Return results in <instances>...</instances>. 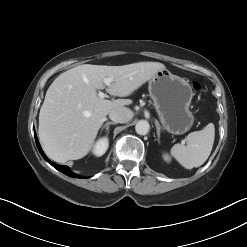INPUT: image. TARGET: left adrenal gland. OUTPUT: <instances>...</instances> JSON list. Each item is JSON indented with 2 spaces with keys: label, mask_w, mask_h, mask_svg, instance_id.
Wrapping results in <instances>:
<instances>
[{
  "label": "left adrenal gland",
  "mask_w": 247,
  "mask_h": 247,
  "mask_svg": "<svg viewBox=\"0 0 247 247\" xmlns=\"http://www.w3.org/2000/svg\"><path fill=\"white\" fill-rule=\"evenodd\" d=\"M155 125H156V129H157V137H158V142H160V132H161V127H160V124L158 122V120H155Z\"/></svg>",
  "instance_id": "1"
}]
</instances>
